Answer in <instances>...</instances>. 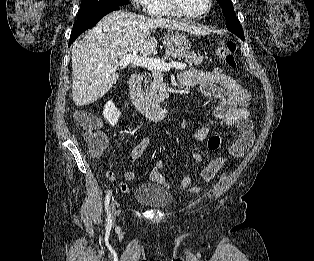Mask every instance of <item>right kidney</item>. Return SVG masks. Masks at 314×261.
<instances>
[{"instance_id":"1","label":"right kidney","mask_w":314,"mask_h":261,"mask_svg":"<svg viewBox=\"0 0 314 261\" xmlns=\"http://www.w3.org/2000/svg\"><path fill=\"white\" fill-rule=\"evenodd\" d=\"M103 116L114 127L121 116V112L115 107L112 101H108L104 107Z\"/></svg>"}]
</instances>
